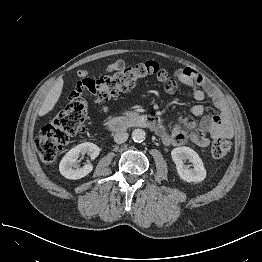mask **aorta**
I'll return each mask as SVG.
<instances>
[{
  "mask_svg": "<svg viewBox=\"0 0 262 262\" xmlns=\"http://www.w3.org/2000/svg\"><path fill=\"white\" fill-rule=\"evenodd\" d=\"M146 138V133L142 129H135L132 132V139L134 142H143Z\"/></svg>",
  "mask_w": 262,
  "mask_h": 262,
  "instance_id": "aorta-1",
  "label": "aorta"
}]
</instances>
